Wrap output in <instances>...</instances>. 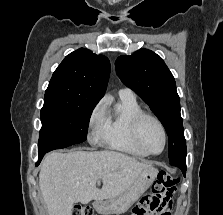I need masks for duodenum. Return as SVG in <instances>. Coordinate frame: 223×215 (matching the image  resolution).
Returning a JSON list of instances; mask_svg holds the SVG:
<instances>
[{
    "instance_id": "duodenum-1",
    "label": "duodenum",
    "mask_w": 223,
    "mask_h": 215,
    "mask_svg": "<svg viewBox=\"0 0 223 215\" xmlns=\"http://www.w3.org/2000/svg\"><path fill=\"white\" fill-rule=\"evenodd\" d=\"M94 208L97 211H102L103 210V200H101V199L96 200L94 203Z\"/></svg>"
}]
</instances>
